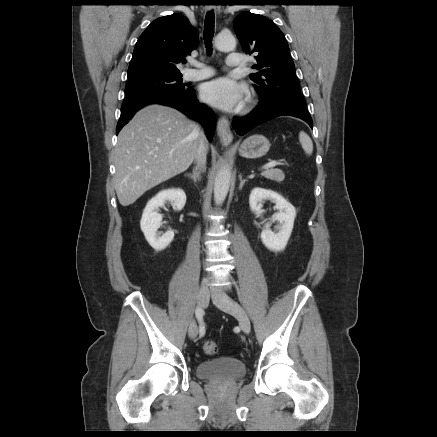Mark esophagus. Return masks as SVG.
<instances>
[{"instance_id": "34e87169", "label": "esophagus", "mask_w": 437, "mask_h": 437, "mask_svg": "<svg viewBox=\"0 0 437 437\" xmlns=\"http://www.w3.org/2000/svg\"><path fill=\"white\" fill-rule=\"evenodd\" d=\"M213 9L212 6H208L207 10L211 11ZM217 134L220 139V142L223 145H229L233 140V134L230 129V122L226 117H220L217 123Z\"/></svg>"}]
</instances>
